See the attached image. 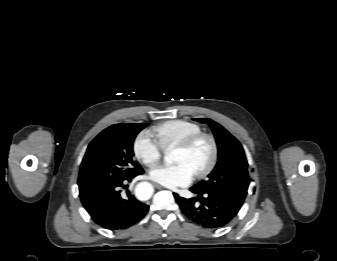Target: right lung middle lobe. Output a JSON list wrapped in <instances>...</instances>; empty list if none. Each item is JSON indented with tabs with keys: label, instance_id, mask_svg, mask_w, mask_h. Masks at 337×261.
Here are the masks:
<instances>
[{
	"label": "right lung middle lobe",
	"instance_id": "dd1d6c3e",
	"mask_svg": "<svg viewBox=\"0 0 337 261\" xmlns=\"http://www.w3.org/2000/svg\"><path fill=\"white\" fill-rule=\"evenodd\" d=\"M147 125L115 124L103 130L89 144L78 178L80 198L143 170L133 159V142Z\"/></svg>",
	"mask_w": 337,
	"mask_h": 261
}]
</instances>
